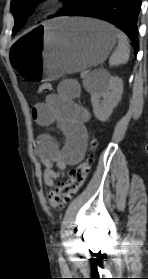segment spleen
I'll use <instances>...</instances> for the list:
<instances>
[{"label": "spleen", "instance_id": "1", "mask_svg": "<svg viewBox=\"0 0 148 279\" xmlns=\"http://www.w3.org/2000/svg\"><path fill=\"white\" fill-rule=\"evenodd\" d=\"M117 37L119 39L117 49L114 51V53L111 55L109 59V64L111 66H117L127 63L130 56V47L126 35L124 33L119 32L117 34ZM100 75L101 72H92L84 81V87L87 90L91 91L94 87L97 78Z\"/></svg>", "mask_w": 148, "mask_h": 279}]
</instances>
